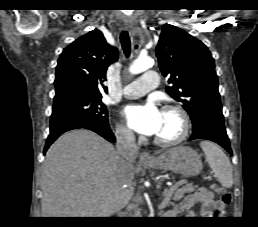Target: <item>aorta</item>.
I'll return each instance as SVG.
<instances>
[{
	"label": "aorta",
	"instance_id": "obj_1",
	"mask_svg": "<svg viewBox=\"0 0 258 227\" xmlns=\"http://www.w3.org/2000/svg\"><path fill=\"white\" fill-rule=\"evenodd\" d=\"M153 64L150 57H139L129 67L131 74H139L149 69Z\"/></svg>",
	"mask_w": 258,
	"mask_h": 227
}]
</instances>
